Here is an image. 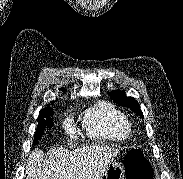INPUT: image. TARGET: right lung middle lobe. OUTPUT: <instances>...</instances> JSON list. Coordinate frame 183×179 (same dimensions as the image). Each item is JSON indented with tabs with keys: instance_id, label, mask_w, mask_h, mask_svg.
<instances>
[{
	"instance_id": "1",
	"label": "right lung middle lobe",
	"mask_w": 183,
	"mask_h": 179,
	"mask_svg": "<svg viewBox=\"0 0 183 179\" xmlns=\"http://www.w3.org/2000/svg\"><path fill=\"white\" fill-rule=\"evenodd\" d=\"M53 115V109L51 107H45L41 110L40 115L38 117V127L34 136V144L37 143V140L41 138L44 134V130L47 127H52L54 125L53 121L50 119V116Z\"/></svg>"
}]
</instances>
